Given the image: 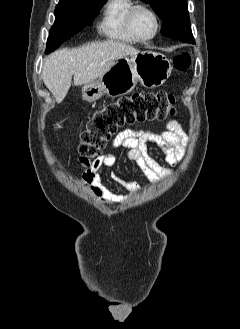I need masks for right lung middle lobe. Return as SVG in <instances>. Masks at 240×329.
I'll return each mask as SVG.
<instances>
[{
	"instance_id": "obj_1",
	"label": "right lung middle lobe",
	"mask_w": 240,
	"mask_h": 329,
	"mask_svg": "<svg viewBox=\"0 0 240 329\" xmlns=\"http://www.w3.org/2000/svg\"><path fill=\"white\" fill-rule=\"evenodd\" d=\"M107 0H86L58 3L55 23L47 40L46 53L52 52L65 40L89 26Z\"/></svg>"
}]
</instances>
